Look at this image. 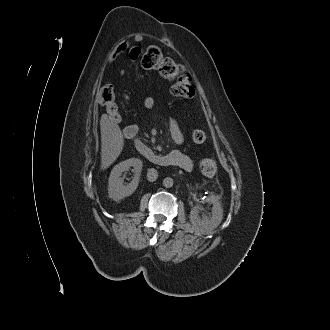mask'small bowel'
<instances>
[{
  "instance_id": "c3829d8e",
  "label": "small bowel",
  "mask_w": 330,
  "mask_h": 330,
  "mask_svg": "<svg viewBox=\"0 0 330 330\" xmlns=\"http://www.w3.org/2000/svg\"><path fill=\"white\" fill-rule=\"evenodd\" d=\"M127 51L129 52V55L132 60H136L141 54V49L138 46L132 44L130 41H123V42H120L119 44H117L112 49V51L109 55V61L114 62L120 55H122L123 53H125ZM154 104H155V100L152 96L148 95L143 99V105L147 109L152 108L154 106ZM131 127H133V126H131ZM169 131H170L172 140L176 144L183 143V141H184L183 132L176 120H174V119L170 120ZM165 156L167 158L169 165L177 166V167H180L187 171L191 170L193 167L192 159L181 151L174 150V151L169 152Z\"/></svg>"
}]
</instances>
